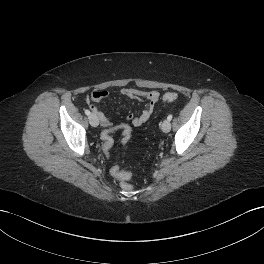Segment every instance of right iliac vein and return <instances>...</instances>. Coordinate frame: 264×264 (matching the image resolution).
Wrapping results in <instances>:
<instances>
[{"instance_id": "obj_1", "label": "right iliac vein", "mask_w": 264, "mask_h": 264, "mask_svg": "<svg viewBox=\"0 0 264 264\" xmlns=\"http://www.w3.org/2000/svg\"><path fill=\"white\" fill-rule=\"evenodd\" d=\"M88 118H89V123L91 124V126H93V127L98 126L99 120L95 114H90Z\"/></svg>"}]
</instances>
